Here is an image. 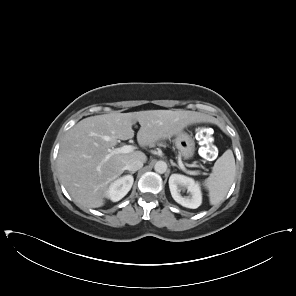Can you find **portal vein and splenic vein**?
Segmentation results:
<instances>
[{
	"label": "portal vein and splenic vein",
	"mask_w": 296,
	"mask_h": 296,
	"mask_svg": "<svg viewBox=\"0 0 296 296\" xmlns=\"http://www.w3.org/2000/svg\"><path fill=\"white\" fill-rule=\"evenodd\" d=\"M133 150H134V146H132V145H124L120 148L110 149L109 154L106 156V159H109L114 154H126V153L132 152ZM178 164L188 174L196 175L198 173L197 171H187L186 168L184 167V164L182 163V161H179Z\"/></svg>",
	"instance_id": "portal-vein-and-splenic-vein-1"
}]
</instances>
